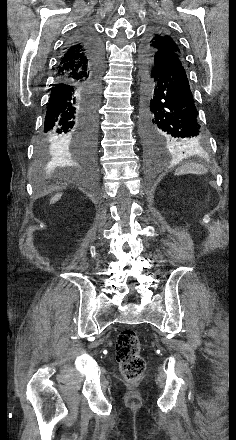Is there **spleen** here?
<instances>
[{
	"instance_id": "1",
	"label": "spleen",
	"mask_w": 236,
	"mask_h": 440,
	"mask_svg": "<svg viewBox=\"0 0 236 440\" xmlns=\"http://www.w3.org/2000/svg\"><path fill=\"white\" fill-rule=\"evenodd\" d=\"M208 169L202 165L197 163H188L180 168H177L176 174H184V173H195V174H205Z\"/></svg>"
}]
</instances>
